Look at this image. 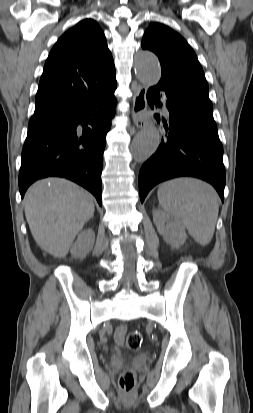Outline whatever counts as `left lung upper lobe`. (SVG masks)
<instances>
[{"mask_svg":"<svg viewBox=\"0 0 253 413\" xmlns=\"http://www.w3.org/2000/svg\"><path fill=\"white\" fill-rule=\"evenodd\" d=\"M142 48L153 51L160 60L162 75L158 84L191 92L210 101L203 69L181 35L165 25L153 23L143 36Z\"/></svg>","mask_w":253,"mask_h":413,"instance_id":"5c2ea615","label":"left lung upper lobe"}]
</instances>
